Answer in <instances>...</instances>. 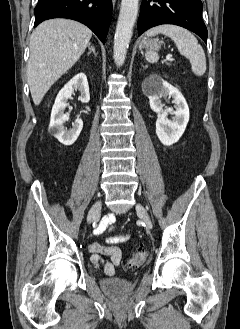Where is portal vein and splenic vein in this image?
<instances>
[{
    "label": "portal vein and splenic vein",
    "instance_id": "1",
    "mask_svg": "<svg viewBox=\"0 0 240 329\" xmlns=\"http://www.w3.org/2000/svg\"><path fill=\"white\" fill-rule=\"evenodd\" d=\"M166 60H167V61H172L173 59H172L171 55H167V56H166Z\"/></svg>",
    "mask_w": 240,
    "mask_h": 329
}]
</instances>
